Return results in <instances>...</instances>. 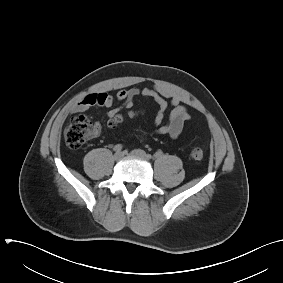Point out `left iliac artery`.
<instances>
[{
  "instance_id": "left-iliac-artery-1",
  "label": "left iliac artery",
  "mask_w": 283,
  "mask_h": 283,
  "mask_svg": "<svg viewBox=\"0 0 283 283\" xmlns=\"http://www.w3.org/2000/svg\"><path fill=\"white\" fill-rule=\"evenodd\" d=\"M162 151H157L154 155H153V157L150 155V158H159V157H161L162 156Z\"/></svg>"
}]
</instances>
